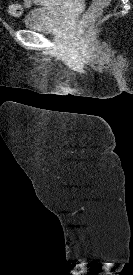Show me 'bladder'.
<instances>
[{"label": "bladder", "mask_w": 133, "mask_h": 275, "mask_svg": "<svg viewBox=\"0 0 133 275\" xmlns=\"http://www.w3.org/2000/svg\"><path fill=\"white\" fill-rule=\"evenodd\" d=\"M52 0L50 5L33 8L23 20L26 29L40 32H56L63 21L62 2Z\"/></svg>", "instance_id": "obj_1"}]
</instances>
